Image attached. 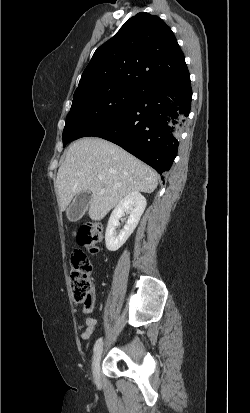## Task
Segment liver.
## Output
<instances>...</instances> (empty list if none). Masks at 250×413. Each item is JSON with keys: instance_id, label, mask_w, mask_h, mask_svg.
I'll list each match as a JSON object with an SVG mask.
<instances>
[{"instance_id": "obj_1", "label": "liver", "mask_w": 250, "mask_h": 413, "mask_svg": "<svg viewBox=\"0 0 250 413\" xmlns=\"http://www.w3.org/2000/svg\"><path fill=\"white\" fill-rule=\"evenodd\" d=\"M157 185V174L149 166L101 138H82L71 144L56 179L61 211L76 195L88 191L89 217L95 221L131 192L152 193Z\"/></svg>"}]
</instances>
